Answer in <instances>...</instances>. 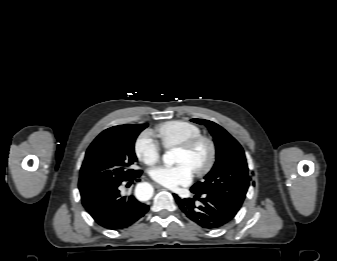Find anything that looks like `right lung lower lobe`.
<instances>
[{"label": "right lung lower lobe", "mask_w": 337, "mask_h": 261, "mask_svg": "<svg viewBox=\"0 0 337 261\" xmlns=\"http://www.w3.org/2000/svg\"><path fill=\"white\" fill-rule=\"evenodd\" d=\"M140 175L141 173L126 182L131 183ZM120 185L121 183L100 190L82 200L83 206L95 222L106 229H125L137 222L149 209L148 205L140 203L132 195L122 197L119 191Z\"/></svg>", "instance_id": "obj_1"}]
</instances>
